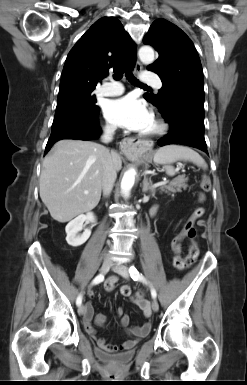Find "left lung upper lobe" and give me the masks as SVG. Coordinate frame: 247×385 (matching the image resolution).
<instances>
[{
  "label": "left lung upper lobe",
  "mask_w": 247,
  "mask_h": 385,
  "mask_svg": "<svg viewBox=\"0 0 247 385\" xmlns=\"http://www.w3.org/2000/svg\"><path fill=\"white\" fill-rule=\"evenodd\" d=\"M159 53L148 70L159 75L163 86L158 95L145 93L144 98L165 111L175 99L204 106V80L198 53L189 37L165 19L156 20L144 37Z\"/></svg>",
  "instance_id": "left-lung-upper-lobe-1"
}]
</instances>
